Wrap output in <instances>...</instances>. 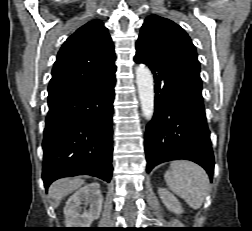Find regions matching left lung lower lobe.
<instances>
[{
  "instance_id": "obj_1",
  "label": "left lung lower lobe",
  "mask_w": 252,
  "mask_h": 231,
  "mask_svg": "<svg viewBox=\"0 0 252 231\" xmlns=\"http://www.w3.org/2000/svg\"><path fill=\"white\" fill-rule=\"evenodd\" d=\"M154 74L155 112L146 127L147 172L163 162L186 159L213 177L214 156L202 98L200 67L174 57L136 53Z\"/></svg>"
}]
</instances>
